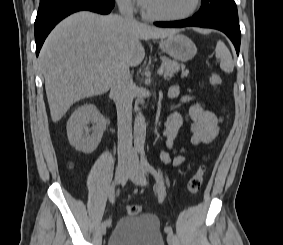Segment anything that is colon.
<instances>
[{
  "label": "colon",
  "instance_id": "obj_1",
  "mask_svg": "<svg viewBox=\"0 0 283 245\" xmlns=\"http://www.w3.org/2000/svg\"><path fill=\"white\" fill-rule=\"evenodd\" d=\"M209 81L213 87H219L223 83L222 77L217 73H212L209 78ZM204 173L205 166L204 164H200L197 167L193 176L188 180L187 189L190 193L197 194L200 191L203 183ZM127 212L129 215H137L140 212V207L136 204L128 205Z\"/></svg>",
  "mask_w": 283,
  "mask_h": 245
}]
</instances>
